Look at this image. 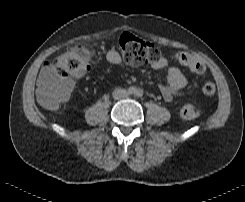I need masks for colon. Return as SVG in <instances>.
I'll return each mask as SVG.
<instances>
[{
	"label": "colon",
	"instance_id": "1",
	"mask_svg": "<svg viewBox=\"0 0 245 202\" xmlns=\"http://www.w3.org/2000/svg\"><path fill=\"white\" fill-rule=\"evenodd\" d=\"M121 50L124 59L132 65H140L146 62H156L161 58V48L146 40L133 35H125L121 42ZM95 55V47L90 43H78L58 55L53 62L56 72L63 76L73 78L83 77L90 68V63ZM179 63L196 74L205 71V64L198 58L186 52L176 55ZM216 87L211 80H206L202 86V92L206 96L215 93ZM69 97V92L56 83L38 91L39 102L48 109H55ZM200 115V110L192 104H186L181 109V116L185 120H194Z\"/></svg>",
	"mask_w": 245,
	"mask_h": 202
}]
</instances>
